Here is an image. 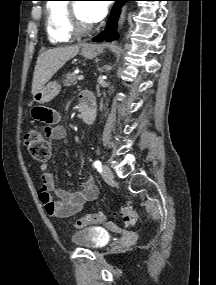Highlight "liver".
Masks as SVG:
<instances>
[{"mask_svg":"<svg viewBox=\"0 0 216 285\" xmlns=\"http://www.w3.org/2000/svg\"><path fill=\"white\" fill-rule=\"evenodd\" d=\"M80 50L79 45L52 48L41 53L35 65L32 95H35L53 75Z\"/></svg>","mask_w":216,"mask_h":285,"instance_id":"liver-1","label":"liver"}]
</instances>
